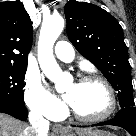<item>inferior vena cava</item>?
Wrapping results in <instances>:
<instances>
[{
  "label": "inferior vena cava",
  "instance_id": "1",
  "mask_svg": "<svg viewBox=\"0 0 136 136\" xmlns=\"http://www.w3.org/2000/svg\"><path fill=\"white\" fill-rule=\"evenodd\" d=\"M29 121L35 136H47L49 121L44 119L39 112L31 111L29 113Z\"/></svg>",
  "mask_w": 136,
  "mask_h": 136
}]
</instances>
